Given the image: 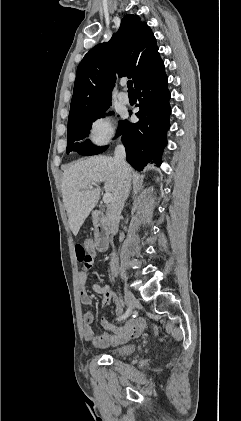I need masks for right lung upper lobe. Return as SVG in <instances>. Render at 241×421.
<instances>
[{"mask_svg": "<svg viewBox=\"0 0 241 421\" xmlns=\"http://www.w3.org/2000/svg\"><path fill=\"white\" fill-rule=\"evenodd\" d=\"M159 58L147 23L126 15L112 39L92 48L78 65L68 120L109 107L116 75L131 77L135 86Z\"/></svg>", "mask_w": 241, "mask_h": 421, "instance_id": "obj_1", "label": "right lung upper lobe"}]
</instances>
